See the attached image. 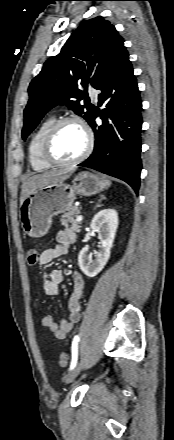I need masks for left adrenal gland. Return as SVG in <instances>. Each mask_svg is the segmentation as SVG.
Masks as SVG:
<instances>
[{
    "label": "left adrenal gland",
    "mask_w": 174,
    "mask_h": 440,
    "mask_svg": "<svg viewBox=\"0 0 174 440\" xmlns=\"http://www.w3.org/2000/svg\"><path fill=\"white\" fill-rule=\"evenodd\" d=\"M105 199H106V198H105L103 195H100V199H99L98 202L96 203L95 208H96V207H99L101 201H102V200H105Z\"/></svg>",
    "instance_id": "left-adrenal-gland-1"
}]
</instances>
